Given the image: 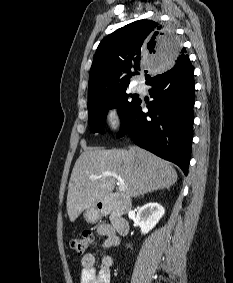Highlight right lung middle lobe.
Returning <instances> with one entry per match:
<instances>
[{"label":"right lung middle lobe","instance_id":"obj_1","mask_svg":"<svg viewBox=\"0 0 233 283\" xmlns=\"http://www.w3.org/2000/svg\"><path fill=\"white\" fill-rule=\"evenodd\" d=\"M130 97H133V95L128 94L127 90H124L105 98L97 104L89 106L88 113L91 132L104 133L103 127L108 109L118 107V114L123 122L140 100H131Z\"/></svg>","mask_w":233,"mask_h":283}]
</instances>
